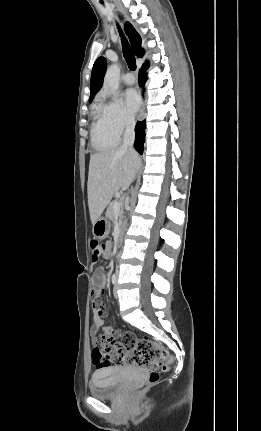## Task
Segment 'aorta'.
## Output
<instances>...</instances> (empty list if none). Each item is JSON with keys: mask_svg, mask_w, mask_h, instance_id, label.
<instances>
[{"mask_svg": "<svg viewBox=\"0 0 261 431\" xmlns=\"http://www.w3.org/2000/svg\"><path fill=\"white\" fill-rule=\"evenodd\" d=\"M120 68L117 64H113L108 67L105 77L104 84L109 88L112 93H115L119 87Z\"/></svg>", "mask_w": 261, "mask_h": 431, "instance_id": "762f6f07", "label": "aorta"}]
</instances>
